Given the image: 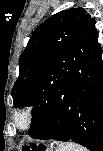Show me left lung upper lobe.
<instances>
[{
	"label": "left lung upper lobe",
	"mask_w": 103,
	"mask_h": 151,
	"mask_svg": "<svg viewBox=\"0 0 103 151\" xmlns=\"http://www.w3.org/2000/svg\"><path fill=\"white\" fill-rule=\"evenodd\" d=\"M95 19L82 8L61 11L43 22L32 34L19 60V77L12 97L15 107L30 106L38 76L56 79L55 62L88 29Z\"/></svg>",
	"instance_id": "left-lung-upper-lobe-1"
}]
</instances>
